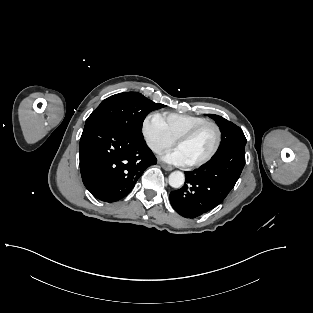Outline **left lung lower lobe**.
Returning <instances> with one entry per match:
<instances>
[{"label": "left lung lower lobe", "mask_w": 313, "mask_h": 313, "mask_svg": "<svg viewBox=\"0 0 313 313\" xmlns=\"http://www.w3.org/2000/svg\"><path fill=\"white\" fill-rule=\"evenodd\" d=\"M245 165V147L215 155L198 169L185 172V185L170 193L176 212L195 218L218 206L235 186Z\"/></svg>", "instance_id": "1"}]
</instances>
